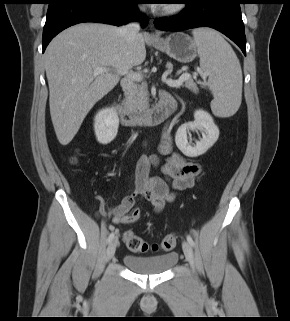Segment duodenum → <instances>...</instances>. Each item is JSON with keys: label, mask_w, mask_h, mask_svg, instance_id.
<instances>
[{"label": "duodenum", "mask_w": 290, "mask_h": 321, "mask_svg": "<svg viewBox=\"0 0 290 321\" xmlns=\"http://www.w3.org/2000/svg\"><path fill=\"white\" fill-rule=\"evenodd\" d=\"M112 108L121 122L126 126L157 125L168 118L176 108V102L170 95L162 96L160 103L151 111L136 113L121 106L117 100L112 101Z\"/></svg>", "instance_id": "duodenum-1"}]
</instances>
